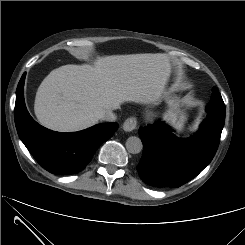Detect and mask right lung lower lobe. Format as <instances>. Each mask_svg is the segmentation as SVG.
I'll return each instance as SVG.
<instances>
[{
	"label": "right lung lower lobe",
	"instance_id": "obj_1",
	"mask_svg": "<svg viewBox=\"0 0 245 245\" xmlns=\"http://www.w3.org/2000/svg\"><path fill=\"white\" fill-rule=\"evenodd\" d=\"M24 79L22 76L16 91L15 124L18 135L26 148L47 171L68 175L83 170L98 147L117 130V123L97 124L91 128L59 133L35 122L24 102Z\"/></svg>",
	"mask_w": 245,
	"mask_h": 245
}]
</instances>
